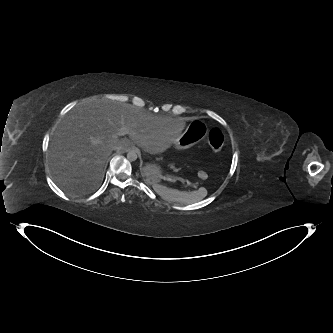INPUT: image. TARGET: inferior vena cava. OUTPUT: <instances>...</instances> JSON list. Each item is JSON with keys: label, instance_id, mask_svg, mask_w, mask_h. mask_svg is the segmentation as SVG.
<instances>
[{"label": "inferior vena cava", "instance_id": "inferior-vena-cava-1", "mask_svg": "<svg viewBox=\"0 0 333 333\" xmlns=\"http://www.w3.org/2000/svg\"><path fill=\"white\" fill-rule=\"evenodd\" d=\"M112 149L119 151L120 150V146H114Z\"/></svg>", "mask_w": 333, "mask_h": 333}]
</instances>
